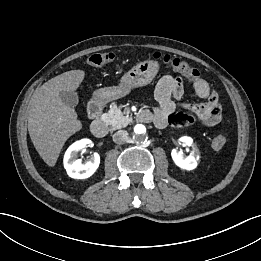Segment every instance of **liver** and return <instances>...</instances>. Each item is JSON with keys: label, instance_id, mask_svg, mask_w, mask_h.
<instances>
[{"label": "liver", "instance_id": "1", "mask_svg": "<svg viewBox=\"0 0 261 261\" xmlns=\"http://www.w3.org/2000/svg\"><path fill=\"white\" fill-rule=\"evenodd\" d=\"M83 70L64 72L37 88L30 100L28 131L43 161L53 167L67 139L82 129L76 111L63 103L61 91H75L84 80Z\"/></svg>", "mask_w": 261, "mask_h": 261}]
</instances>
